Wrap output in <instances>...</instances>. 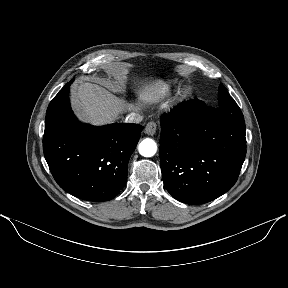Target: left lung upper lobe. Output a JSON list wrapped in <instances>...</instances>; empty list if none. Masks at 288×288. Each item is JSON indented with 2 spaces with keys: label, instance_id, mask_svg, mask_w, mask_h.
I'll return each mask as SVG.
<instances>
[{
  "label": "left lung upper lobe",
  "instance_id": "1",
  "mask_svg": "<svg viewBox=\"0 0 288 288\" xmlns=\"http://www.w3.org/2000/svg\"><path fill=\"white\" fill-rule=\"evenodd\" d=\"M219 107H210V113L216 117L228 120L245 127L244 116L237 103L229 95L223 84L219 86Z\"/></svg>",
  "mask_w": 288,
  "mask_h": 288
}]
</instances>
